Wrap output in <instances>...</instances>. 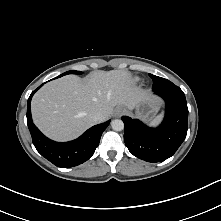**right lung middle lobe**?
Instances as JSON below:
<instances>
[{
    "instance_id": "dd1d6c3e",
    "label": "right lung middle lobe",
    "mask_w": 221,
    "mask_h": 221,
    "mask_svg": "<svg viewBox=\"0 0 221 221\" xmlns=\"http://www.w3.org/2000/svg\"><path fill=\"white\" fill-rule=\"evenodd\" d=\"M67 74H82V72L81 71H67L58 77H61V76L67 75Z\"/></svg>"
}]
</instances>
